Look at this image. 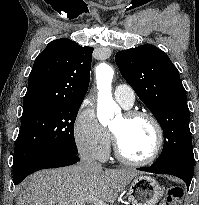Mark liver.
<instances>
[{
	"instance_id": "obj_1",
	"label": "liver",
	"mask_w": 199,
	"mask_h": 205,
	"mask_svg": "<svg viewBox=\"0 0 199 205\" xmlns=\"http://www.w3.org/2000/svg\"><path fill=\"white\" fill-rule=\"evenodd\" d=\"M136 170L85 171L80 165L42 170L28 178L27 205H85L91 198L114 202Z\"/></svg>"
}]
</instances>
